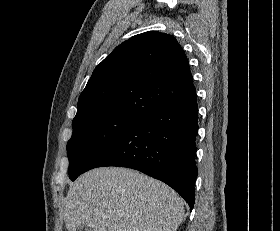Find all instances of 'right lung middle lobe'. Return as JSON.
Here are the masks:
<instances>
[{"instance_id": "1", "label": "right lung middle lobe", "mask_w": 280, "mask_h": 231, "mask_svg": "<svg viewBox=\"0 0 280 231\" xmlns=\"http://www.w3.org/2000/svg\"><path fill=\"white\" fill-rule=\"evenodd\" d=\"M140 120L124 116L73 120L72 137L67 143L69 178L74 181L94 159Z\"/></svg>"}]
</instances>
